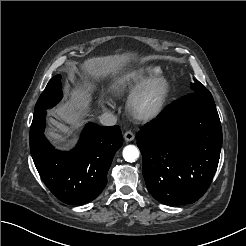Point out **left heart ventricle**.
I'll return each mask as SVG.
<instances>
[{
    "label": "left heart ventricle",
    "mask_w": 246,
    "mask_h": 246,
    "mask_svg": "<svg viewBox=\"0 0 246 246\" xmlns=\"http://www.w3.org/2000/svg\"><path fill=\"white\" fill-rule=\"evenodd\" d=\"M154 96H155V94H154V93H152V94L149 96L148 101H152V100H153V98H154Z\"/></svg>",
    "instance_id": "left-heart-ventricle-1"
}]
</instances>
